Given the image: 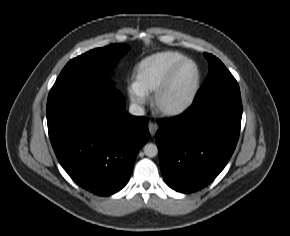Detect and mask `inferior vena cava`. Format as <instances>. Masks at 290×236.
I'll return each instance as SVG.
<instances>
[{"label":"inferior vena cava","mask_w":290,"mask_h":236,"mask_svg":"<svg viewBox=\"0 0 290 236\" xmlns=\"http://www.w3.org/2000/svg\"><path fill=\"white\" fill-rule=\"evenodd\" d=\"M129 113L134 116H143L145 111L143 107L137 104H131L129 107Z\"/></svg>","instance_id":"inferior-vena-cava-1"}]
</instances>
